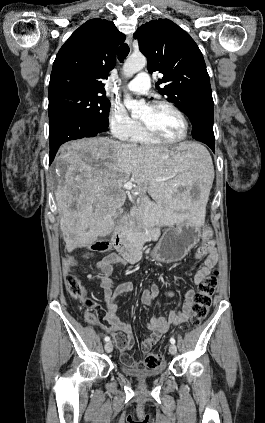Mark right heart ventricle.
<instances>
[{
    "instance_id": "e07e8e85",
    "label": "right heart ventricle",
    "mask_w": 265,
    "mask_h": 423,
    "mask_svg": "<svg viewBox=\"0 0 265 423\" xmlns=\"http://www.w3.org/2000/svg\"><path fill=\"white\" fill-rule=\"evenodd\" d=\"M131 142L133 143H137L140 144L142 146H154V145H158L160 142L150 138L149 136H147L141 126L139 125L138 128L136 129L133 137L130 139Z\"/></svg>"
}]
</instances>
